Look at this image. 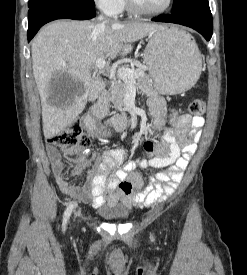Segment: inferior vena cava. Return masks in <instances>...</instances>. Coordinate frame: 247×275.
I'll return each instance as SVG.
<instances>
[{"label": "inferior vena cava", "mask_w": 247, "mask_h": 275, "mask_svg": "<svg viewBox=\"0 0 247 275\" xmlns=\"http://www.w3.org/2000/svg\"><path fill=\"white\" fill-rule=\"evenodd\" d=\"M99 20H100V21H103V24H106V23H107V21H104V17H103V16H100V17H99Z\"/></svg>", "instance_id": "1"}]
</instances>
